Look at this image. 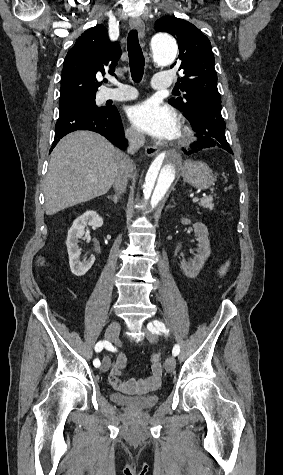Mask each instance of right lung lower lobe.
<instances>
[{"label":"right lung lower lobe","instance_id":"98d812e1","mask_svg":"<svg viewBox=\"0 0 283 475\" xmlns=\"http://www.w3.org/2000/svg\"><path fill=\"white\" fill-rule=\"evenodd\" d=\"M94 109L85 104H72L60 107L55 125V138L52 149L59 140L76 130H90L105 136L111 143L124 149L127 145L120 115L115 106Z\"/></svg>","mask_w":283,"mask_h":475}]
</instances>
